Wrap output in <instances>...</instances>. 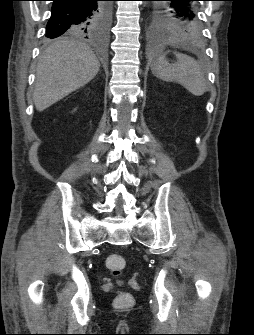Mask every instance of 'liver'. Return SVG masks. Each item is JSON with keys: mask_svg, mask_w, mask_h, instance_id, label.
I'll use <instances>...</instances> for the list:
<instances>
[{"mask_svg": "<svg viewBox=\"0 0 254 335\" xmlns=\"http://www.w3.org/2000/svg\"><path fill=\"white\" fill-rule=\"evenodd\" d=\"M99 67L87 44L69 39L54 42L43 52L36 69L33 100L37 111L45 110L86 85Z\"/></svg>", "mask_w": 254, "mask_h": 335, "instance_id": "6515ba94", "label": "liver"}]
</instances>
